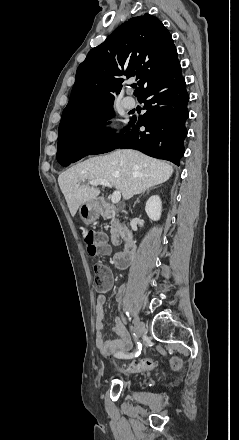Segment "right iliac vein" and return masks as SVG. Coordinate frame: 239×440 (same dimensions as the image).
Returning a JSON list of instances; mask_svg holds the SVG:
<instances>
[{
    "mask_svg": "<svg viewBox=\"0 0 239 440\" xmlns=\"http://www.w3.org/2000/svg\"><path fill=\"white\" fill-rule=\"evenodd\" d=\"M134 331L136 333V337L139 338L145 332V324L137 319L135 322Z\"/></svg>",
    "mask_w": 239,
    "mask_h": 440,
    "instance_id": "63e3f726",
    "label": "right iliac vein"
}]
</instances>
